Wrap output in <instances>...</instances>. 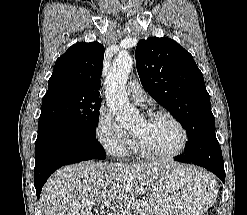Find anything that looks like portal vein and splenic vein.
Returning <instances> with one entry per match:
<instances>
[{"label":"portal vein and splenic vein","mask_w":247,"mask_h":215,"mask_svg":"<svg viewBox=\"0 0 247 215\" xmlns=\"http://www.w3.org/2000/svg\"><path fill=\"white\" fill-rule=\"evenodd\" d=\"M110 205H111V201L109 200V198H104L102 200V206L109 207Z\"/></svg>","instance_id":"1"}]
</instances>
